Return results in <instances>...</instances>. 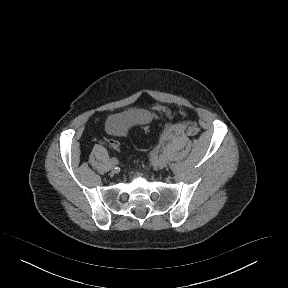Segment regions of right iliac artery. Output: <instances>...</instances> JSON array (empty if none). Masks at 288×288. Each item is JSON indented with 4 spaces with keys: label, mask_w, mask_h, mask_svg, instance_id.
I'll return each instance as SVG.
<instances>
[{
    "label": "right iliac artery",
    "mask_w": 288,
    "mask_h": 288,
    "mask_svg": "<svg viewBox=\"0 0 288 288\" xmlns=\"http://www.w3.org/2000/svg\"><path fill=\"white\" fill-rule=\"evenodd\" d=\"M111 161L116 164L118 163V160L115 157H112Z\"/></svg>",
    "instance_id": "82829eb1"
}]
</instances>
